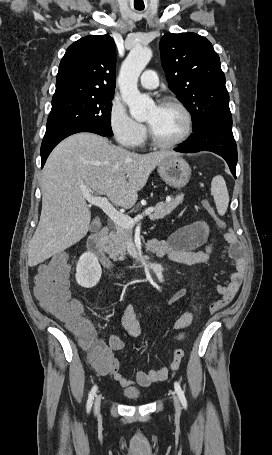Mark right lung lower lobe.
I'll list each match as a JSON object with an SVG mask.
<instances>
[{"label":"right lung lower lobe","mask_w":272,"mask_h":455,"mask_svg":"<svg viewBox=\"0 0 272 455\" xmlns=\"http://www.w3.org/2000/svg\"><path fill=\"white\" fill-rule=\"evenodd\" d=\"M79 132H91L101 136H108L100 129L90 125H76L61 127L54 130L46 131L41 145L42 167L53 148L64 138Z\"/></svg>","instance_id":"obj_1"}]
</instances>
